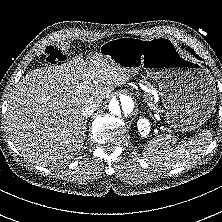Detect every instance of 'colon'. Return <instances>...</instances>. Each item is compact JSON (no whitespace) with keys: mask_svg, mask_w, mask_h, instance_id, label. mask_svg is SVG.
Segmentation results:
<instances>
[{"mask_svg":"<svg viewBox=\"0 0 222 222\" xmlns=\"http://www.w3.org/2000/svg\"><path fill=\"white\" fill-rule=\"evenodd\" d=\"M64 58V54L52 46L47 47L45 50L44 61L47 64H56L57 62L64 60Z\"/></svg>","mask_w":222,"mask_h":222,"instance_id":"colon-1","label":"colon"}]
</instances>
